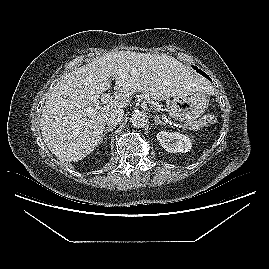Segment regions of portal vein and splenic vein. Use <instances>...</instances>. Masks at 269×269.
Wrapping results in <instances>:
<instances>
[{"label":"portal vein and splenic vein","instance_id":"1","mask_svg":"<svg viewBox=\"0 0 269 269\" xmlns=\"http://www.w3.org/2000/svg\"><path fill=\"white\" fill-rule=\"evenodd\" d=\"M110 93H105L101 96V102L103 104H107L109 102V99H110ZM87 111H90V109H87Z\"/></svg>","mask_w":269,"mask_h":269}]
</instances>
